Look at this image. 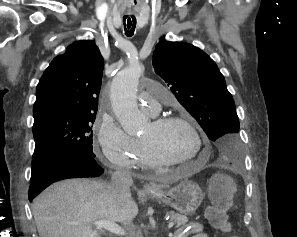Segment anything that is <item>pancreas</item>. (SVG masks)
<instances>
[{
  "mask_svg": "<svg viewBox=\"0 0 297 237\" xmlns=\"http://www.w3.org/2000/svg\"><path fill=\"white\" fill-rule=\"evenodd\" d=\"M171 221H174L176 223V227H180L185 225L188 222V218L186 215L174 213V212H169Z\"/></svg>",
  "mask_w": 297,
  "mask_h": 237,
  "instance_id": "obj_1",
  "label": "pancreas"
}]
</instances>
